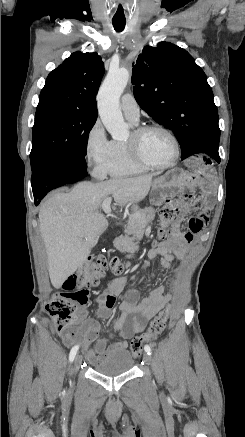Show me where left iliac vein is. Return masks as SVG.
Wrapping results in <instances>:
<instances>
[{
	"label": "left iliac vein",
	"instance_id": "left-iliac-vein-1",
	"mask_svg": "<svg viewBox=\"0 0 245 437\" xmlns=\"http://www.w3.org/2000/svg\"><path fill=\"white\" fill-rule=\"evenodd\" d=\"M143 359L146 362V364H148V365H150L152 363V358L148 353L144 354Z\"/></svg>",
	"mask_w": 245,
	"mask_h": 437
}]
</instances>
